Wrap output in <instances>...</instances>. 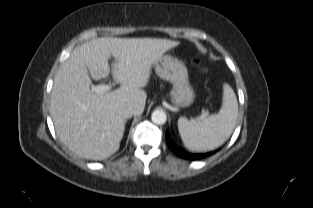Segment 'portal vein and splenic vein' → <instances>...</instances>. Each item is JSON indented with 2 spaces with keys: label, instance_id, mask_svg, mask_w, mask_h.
Here are the masks:
<instances>
[{
  "label": "portal vein and splenic vein",
  "instance_id": "18ae733b",
  "mask_svg": "<svg viewBox=\"0 0 313 208\" xmlns=\"http://www.w3.org/2000/svg\"><path fill=\"white\" fill-rule=\"evenodd\" d=\"M113 85H114V83H109L108 85L100 84L97 86H92L91 91L96 92V93H103L105 91L110 90Z\"/></svg>",
  "mask_w": 313,
  "mask_h": 208
}]
</instances>
